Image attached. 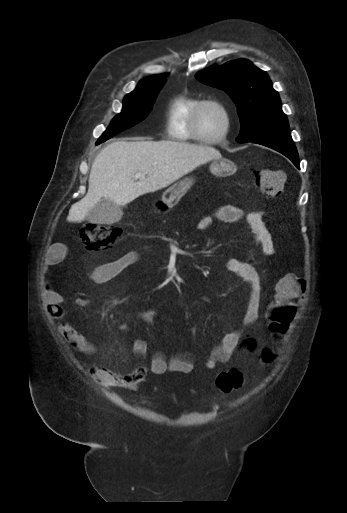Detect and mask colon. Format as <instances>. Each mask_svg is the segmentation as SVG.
I'll list each match as a JSON object with an SVG mask.
<instances>
[{
	"label": "colon",
	"mask_w": 347,
	"mask_h": 513,
	"mask_svg": "<svg viewBox=\"0 0 347 513\" xmlns=\"http://www.w3.org/2000/svg\"><path fill=\"white\" fill-rule=\"evenodd\" d=\"M252 181L260 195L264 198H278L285 184V178L280 170H253ZM122 229L115 225L86 223L80 229V237L90 249H103L114 245L121 237ZM306 290V281L298 273L284 275L278 281L274 300L268 309V326L278 337L283 336L296 314L298 305ZM258 358L265 369L272 367L277 358L278 350L274 342L265 341L257 350ZM245 379L238 370L220 373L215 380L216 387L222 393H229L241 388Z\"/></svg>",
	"instance_id": "obj_1"
}]
</instances>
